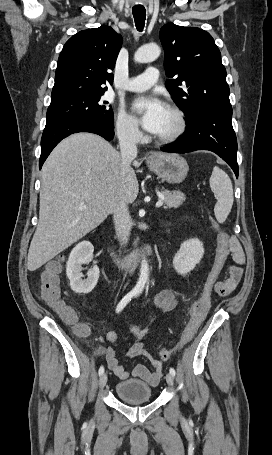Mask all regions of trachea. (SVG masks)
<instances>
[{
	"mask_svg": "<svg viewBox=\"0 0 272 455\" xmlns=\"http://www.w3.org/2000/svg\"><path fill=\"white\" fill-rule=\"evenodd\" d=\"M132 13L135 21V26L139 32H142L145 25L146 10L143 6H135L132 8Z\"/></svg>",
	"mask_w": 272,
	"mask_h": 455,
	"instance_id": "obj_1",
	"label": "trachea"
}]
</instances>
